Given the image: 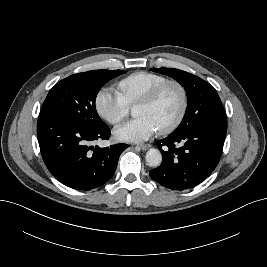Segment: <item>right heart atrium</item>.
Listing matches in <instances>:
<instances>
[{
	"label": "right heart atrium",
	"mask_w": 267,
	"mask_h": 267,
	"mask_svg": "<svg viewBox=\"0 0 267 267\" xmlns=\"http://www.w3.org/2000/svg\"><path fill=\"white\" fill-rule=\"evenodd\" d=\"M95 108L101 118L117 125L127 117L130 106L118 92L102 88L96 94Z\"/></svg>",
	"instance_id": "d8ad5b80"
}]
</instances>
